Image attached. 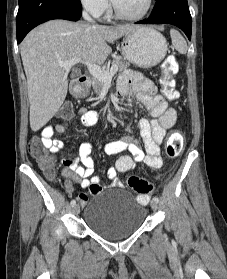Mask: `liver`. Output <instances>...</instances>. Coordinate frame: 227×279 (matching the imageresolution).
<instances>
[{"mask_svg": "<svg viewBox=\"0 0 227 279\" xmlns=\"http://www.w3.org/2000/svg\"><path fill=\"white\" fill-rule=\"evenodd\" d=\"M136 25L104 26L51 20L33 29L21 44L27 77L30 127L36 132L57 113L68 91V73L59 63L71 58L103 64L111 47Z\"/></svg>", "mask_w": 227, "mask_h": 279, "instance_id": "liver-1", "label": "liver"}]
</instances>
